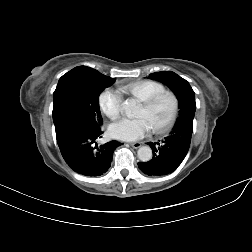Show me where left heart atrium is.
Instances as JSON below:
<instances>
[{
  "mask_svg": "<svg viewBox=\"0 0 252 252\" xmlns=\"http://www.w3.org/2000/svg\"><path fill=\"white\" fill-rule=\"evenodd\" d=\"M149 126L144 118H122L109 127V133L112 137L134 141L142 138L149 131Z\"/></svg>",
  "mask_w": 252,
  "mask_h": 252,
  "instance_id": "obj_1",
  "label": "left heart atrium"
}]
</instances>
